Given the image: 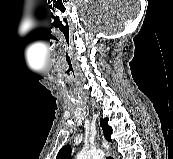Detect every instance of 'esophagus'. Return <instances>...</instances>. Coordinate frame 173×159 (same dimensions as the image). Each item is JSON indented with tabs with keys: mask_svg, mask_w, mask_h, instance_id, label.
<instances>
[{
	"mask_svg": "<svg viewBox=\"0 0 173 159\" xmlns=\"http://www.w3.org/2000/svg\"><path fill=\"white\" fill-rule=\"evenodd\" d=\"M100 135H101L102 147L106 151V159H115L112 153L110 152L109 143L103 137L102 130H100Z\"/></svg>",
	"mask_w": 173,
	"mask_h": 159,
	"instance_id": "esophagus-1",
	"label": "esophagus"
}]
</instances>
